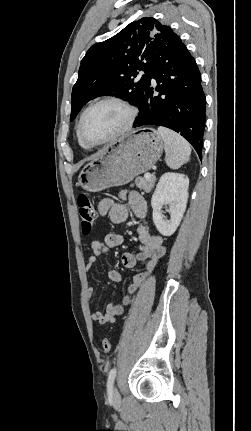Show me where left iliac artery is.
I'll list each match as a JSON object with an SVG mask.
<instances>
[{
    "label": "left iliac artery",
    "mask_w": 251,
    "mask_h": 431,
    "mask_svg": "<svg viewBox=\"0 0 251 431\" xmlns=\"http://www.w3.org/2000/svg\"><path fill=\"white\" fill-rule=\"evenodd\" d=\"M115 377H116V368L114 367L109 372L108 380H107V390L109 394H112Z\"/></svg>",
    "instance_id": "obj_1"
}]
</instances>
